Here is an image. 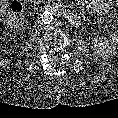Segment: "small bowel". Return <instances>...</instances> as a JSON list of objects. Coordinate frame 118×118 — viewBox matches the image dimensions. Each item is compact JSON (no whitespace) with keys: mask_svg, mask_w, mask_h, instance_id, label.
I'll return each mask as SVG.
<instances>
[{"mask_svg":"<svg viewBox=\"0 0 118 118\" xmlns=\"http://www.w3.org/2000/svg\"><path fill=\"white\" fill-rule=\"evenodd\" d=\"M117 4V3H116ZM85 6L98 14H106L109 12V4L104 0H86ZM116 43H118V33L113 36Z\"/></svg>","mask_w":118,"mask_h":118,"instance_id":"obj_1","label":"small bowel"}]
</instances>
